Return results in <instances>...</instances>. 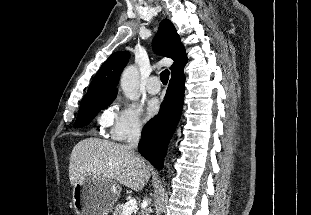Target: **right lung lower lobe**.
<instances>
[{
  "label": "right lung lower lobe",
  "mask_w": 311,
  "mask_h": 215,
  "mask_svg": "<svg viewBox=\"0 0 311 215\" xmlns=\"http://www.w3.org/2000/svg\"><path fill=\"white\" fill-rule=\"evenodd\" d=\"M184 82L183 70L172 75L158 115L150 119L142 130L138 151L158 169L163 168L169 140L181 116Z\"/></svg>",
  "instance_id": "obj_1"
}]
</instances>
